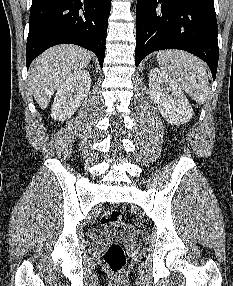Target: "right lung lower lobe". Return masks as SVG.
<instances>
[{
	"label": "right lung lower lobe",
	"mask_w": 233,
	"mask_h": 286,
	"mask_svg": "<svg viewBox=\"0 0 233 286\" xmlns=\"http://www.w3.org/2000/svg\"><path fill=\"white\" fill-rule=\"evenodd\" d=\"M111 0H32L26 66L63 43L93 51L103 66Z\"/></svg>",
	"instance_id": "1"
}]
</instances>
